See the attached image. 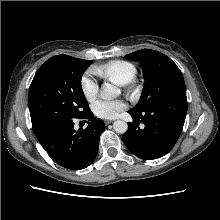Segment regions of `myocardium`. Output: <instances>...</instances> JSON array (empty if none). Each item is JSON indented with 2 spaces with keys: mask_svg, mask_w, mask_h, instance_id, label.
<instances>
[{
  "mask_svg": "<svg viewBox=\"0 0 220 220\" xmlns=\"http://www.w3.org/2000/svg\"><path fill=\"white\" fill-rule=\"evenodd\" d=\"M131 89H132V87L130 86L127 90H128V91H131Z\"/></svg>",
  "mask_w": 220,
  "mask_h": 220,
  "instance_id": "f54148a6",
  "label": "myocardium"
}]
</instances>
